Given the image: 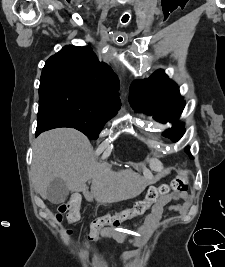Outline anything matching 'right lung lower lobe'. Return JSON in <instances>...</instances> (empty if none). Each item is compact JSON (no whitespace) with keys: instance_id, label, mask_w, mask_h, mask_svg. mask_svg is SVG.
<instances>
[{"instance_id":"1","label":"right lung lower lobe","mask_w":225,"mask_h":267,"mask_svg":"<svg viewBox=\"0 0 225 267\" xmlns=\"http://www.w3.org/2000/svg\"><path fill=\"white\" fill-rule=\"evenodd\" d=\"M59 127L73 128L72 124L55 110L46 106L39 107L35 135L38 136L44 131Z\"/></svg>"}]
</instances>
